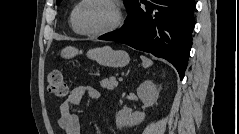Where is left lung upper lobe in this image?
I'll list each match as a JSON object with an SVG mask.
<instances>
[{
  "label": "left lung upper lobe",
  "instance_id": "left-lung-upper-lobe-1",
  "mask_svg": "<svg viewBox=\"0 0 239 134\" xmlns=\"http://www.w3.org/2000/svg\"><path fill=\"white\" fill-rule=\"evenodd\" d=\"M126 7L129 9L131 8V6L133 5V3L135 2V0H124ZM61 2V0H57V5Z\"/></svg>",
  "mask_w": 239,
  "mask_h": 134
}]
</instances>
